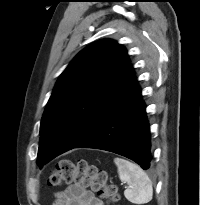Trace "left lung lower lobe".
<instances>
[{
  "instance_id": "left-lung-lower-lobe-1",
  "label": "left lung lower lobe",
  "mask_w": 200,
  "mask_h": 205,
  "mask_svg": "<svg viewBox=\"0 0 200 205\" xmlns=\"http://www.w3.org/2000/svg\"><path fill=\"white\" fill-rule=\"evenodd\" d=\"M149 122L133 67L114 99L87 136L74 148H95L125 156L148 170L151 166Z\"/></svg>"
}]
</instances>
